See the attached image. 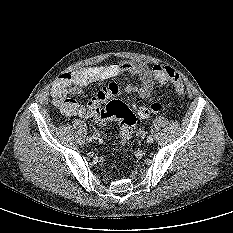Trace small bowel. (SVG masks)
Returning <instances> with one entry per match:
<instances>
[{"label": "small bowel", "instance_id": "1", "mask_svg": "<svg viewBox=\"0 0 233 233\" xmlns=\"http://www.w3.org/2000/svg\"><path fill=\"white\" fill-rule=\"evenodd\" d=\"M124 73L134 75L139 80V85L127 84L121 88L114 82L109 83L89 101L87 107L69 97L70 94H80L93 84L101 83ZM152 90L153 71L151 68L144 63L122 60L107 65L90 66L62 75L53 86L51 96L54 106L64 116L92 119L91 109L93 106H101L105 101L121 92L126 94L136 93L142 98H148ZM106 120L94 121L103 123Z\"/></svg>", "mask_w": 233, "mask_h": 233}]
</instances>
